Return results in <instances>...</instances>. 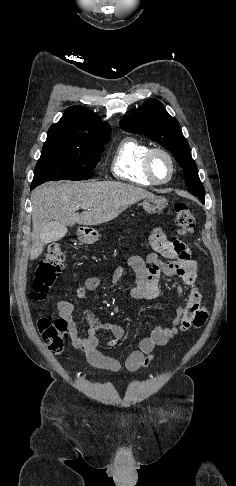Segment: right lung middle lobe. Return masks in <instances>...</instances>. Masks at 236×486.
Masks as SVG:
<instances>
[{"label": "right lung middle lobe", "mask_w": 236, "mask_h": 486, "mask_svg": "<svg viewBox=\"0 0 236 486\" xmlns=\"http://www.w3.org/2000/svg\"><path fill=\"white\" fill-rule=\"evenodd\" d=\"M109 137L87 141L48 135L37 162L32 188L50 180H85L98 164Z\"/></svg>", "instance_id": "right-lung-middle-lobe-1"}]
</instances>
